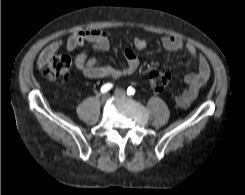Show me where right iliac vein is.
Instances as JSON below:
<instances>
[{"mask_svg": "<svg viewBox=\"0 0 245 195\" xmlns=\"http://www.w3.org/2000/svg\"><path fill=\"white\" fill-rule=\"evenodd\" d=\"M108 98H109V95L108 94H104L103 96H102V98H101V102L104 104V103H106V101L108 100Z\"/></svg>", "mask_w": 245, "mask_h": 195, "instance_id": "63e3f726", "label": "right iliac vein"}]
</instances>
